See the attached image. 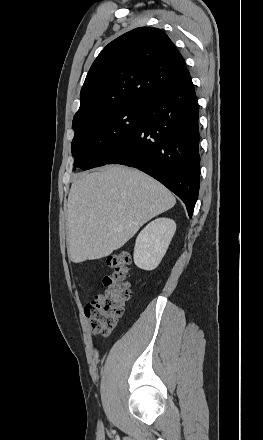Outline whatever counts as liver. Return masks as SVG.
<instances>
[{"label": "liver", "instance_id": "6515ba94", "mask_svg": "<svg viewBox=\"0 0 263 440\" xmlns=\"http://www.w3.org/2000/svg\"><path fill=\"white\" fill-rule=\"evenodd\" d=\"M176 204L172 193L145 173L107 166L80 174L67 203V248L74 263L107 257L139 228Z\"/></svg>", "mask_w": 263, "mask_h": 440}]
</instances>
